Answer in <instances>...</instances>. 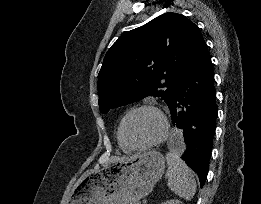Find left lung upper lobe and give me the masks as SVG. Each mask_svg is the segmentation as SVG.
Masks as SVG:
<instances>
[{"label":"left lung upper lobe","mask_w":261,"mask_h":204,"mask_svg":"<svg viewBox=\"0 0 261 204\" xmlns=\"http://www.w3.org/2000/svg\"><path fill=\"white\" fill-rule=\"evenodd\" d=\"M198 33L185 16L169 12L120 37L98 74L100 112L147 96L169 107Z\"/></svg>","instance_id":"obj_1"}]
</instances>
